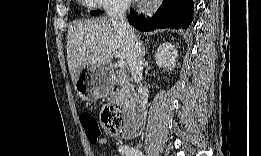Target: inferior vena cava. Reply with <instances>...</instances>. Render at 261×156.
Segmentation results:
<instances>
[{"label":"inferior vena cava","instance_id":"1","mask_svg":"<svg viewBox=\"0 0 261 156\" xmlns=\"http://www.w3.org/2000/svg\"><path fill=\"white\" fill-rule=\"evenodd\" d=\"M129 2L126 0H112L106 8L108 18L112 25L125 39L126 60L135 83L142 81L143 58L140 43L133 29L127 22L126 10Z\"/></svg>","mask_w":261,"mask_h":156}]
</instances>
